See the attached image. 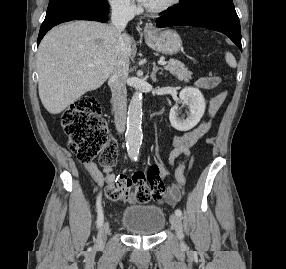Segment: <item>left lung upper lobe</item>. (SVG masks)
<instances>
[{
  "instance_id": "obj_1",
  "label": "left lung upper lobe",
  "mask_w": 286,
  "mask_h": 269,
  "mask_svg": "<svg viewBox=\"0 0 286 269\" xmlns=\"http://www.w3.org/2000/svg\"><path fill=\"white\" fill-rule=\"evenodd\" d=\"M203 3H233L232 0H180L178 9H189ZM172 9V8H169Z\"/></svg>"
}]
</instances>
